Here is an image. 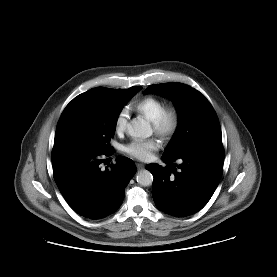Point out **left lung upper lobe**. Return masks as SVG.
Masks as SVG:
<instances>
[{
    "mask_svg": "<svg viewBox=\"0 0 277 277\" xmlns=\"http://www.w3.org/2000/svg\"><path fill=\"white\" fill-rule=\"evenodd\" d=\"M151 92L171 98L178 111V127L164 159L175 161L201 145L222 142L217 115L202 93L177 82L151 85L143 94Z\"/></svg>",
    "mask_w": 277,
    "mask_h": 277,
    "instance_id": "5c2ea615",
    "label": "left lung upper lobe"
}]
</instances>
